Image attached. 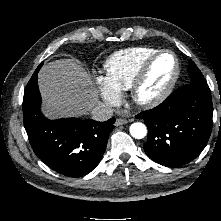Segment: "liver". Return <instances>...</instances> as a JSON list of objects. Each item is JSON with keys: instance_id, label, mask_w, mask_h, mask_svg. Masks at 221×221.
<instances>
[{"instance_id": "1", "label": "liver", "mask_w": 221, "mask_h": 221, "mask_svg": "<svg viewBox=\"0 0 221 221\" xmlns=\"http://www.w3.org/2000/svg\"><path fill=\"white\" fill-rule=\"evenodd\" d=\"M43 113L50 119L79 117L98 102L90 74L75 59H60L44 65L38 74Z\"/></svg>"}]
</instances>
